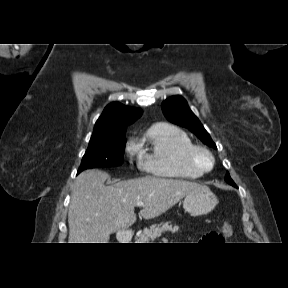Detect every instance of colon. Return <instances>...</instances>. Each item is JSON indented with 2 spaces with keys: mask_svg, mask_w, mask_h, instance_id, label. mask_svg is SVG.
<instances>
[{
  "mask_svg": "<svg viewBox=\"0 0 288 288\" xmlns=\"http://www.w3.org/2000/svg\"><path fill=\"white\" fill-rule=\"evenodd\" d=\"M232 232V226L229 223H224L219 233H212L207 237L208 242H222L225 238L229 237Z\"/></svg>",
  "mask_w": 288,
  "mask_h": 288,
  "instance_id": "1",
  "label": "colon"
}]
</instances>
